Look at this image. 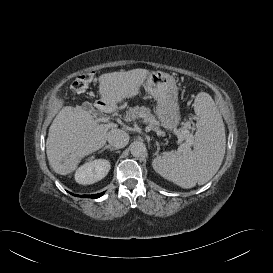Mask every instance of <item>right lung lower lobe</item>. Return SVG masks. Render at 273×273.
Masks as SVG:
<instances>
[{"label":"right lung lower lobe","instance_id":"obj_1","mask_svg":"<svg viewBox=\"0 0 273 273\" xmlns=\"http://www.w3.org/2000/svg\"><path fill=\"white\" fill-rule=\"evenodd\" d=\"M104 194V192L103 193H99V194H94V195H82V196H80V197H87V198H99V197H101L102 195ZM75 196H79V195H75Z\"/></svg>","mask_w":273,"mask_h":273}]
</instances>
